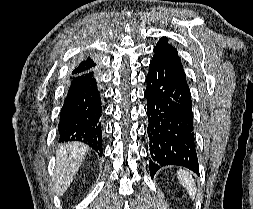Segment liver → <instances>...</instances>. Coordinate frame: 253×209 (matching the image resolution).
<instances>
[{
    "label": "liver",
    "instance_id": "liver-1",
    "mask_svg": "<svg viewBox=\"0 0 253 209\" xmlns=\"http://www.w3.org/2000/svg\"><path fill=\"white\" fill-rule=\"evenodd\" d=\"M88 146L80 142L60 145L57 152L52 190L62 196L73 181L88 152Z\"/></svg>",
    "mask_w": 253,
    "mask_h": 209
}]
</instances>
